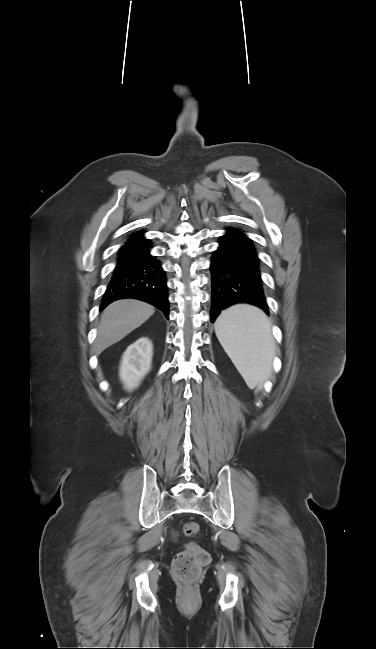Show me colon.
<instances>
[{
  "label": "colon",
  "instance_id": "5ec220e1",
  "mask_svg": "<svg viewBox=\"0 0 376 649\" xmlns=\"http://www.w3.org/2000/svg\"><path fill=\"white\" fill-rule=\"evenodd\" d=\"M181 532L183 536L192 538L198 536L200 526L196 522H187L183 525ZM210 562V556L206 550L194 542L186 544L185 549L173 559L172 573L182 581L191 582L197 579L202 569Z\"/></svg>",
  "mask_w": 376,
  "mask_h": 649
}]
</instances>
